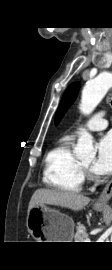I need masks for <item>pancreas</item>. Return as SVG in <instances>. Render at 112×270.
<instances>
[{
  "mask_svg": "<svg viewBox=\"0 0 112 270\" xmlns=\"http://www.w3.org/2000/svg\"><path fill=\"white\" fill-rule=\"evenodd\" d=\"M88 238L87 230L85 226L81 223H78L76 227V233H75V242H85V240Z\"/></svg>",
  "mask_w": 112,
  "mask_h": 270,
  "instance_id": "obj_1",
  "label": "pancreas"
}]
</instances>
